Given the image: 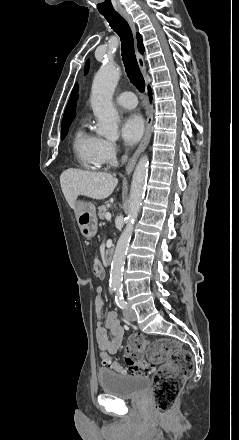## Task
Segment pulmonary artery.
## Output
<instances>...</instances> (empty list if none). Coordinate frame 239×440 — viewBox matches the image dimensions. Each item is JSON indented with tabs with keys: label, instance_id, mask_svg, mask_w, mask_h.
Segmentation results:
<instances>
[{
	"label": "pulmonary artery",
	"instance_id": "1",
	"mask_svg": "<svg viewBox=\"0 0 239 440\" xmlns=\"http://www.w3.org/2000/svg\"><path fill=\"white\" fill-rule=\"evenodd\" d=\"M116 103L124 108H134L137 105V99L132 92H123L116 98Z\"/></svg>",
	"mask_w": 239,
	"mask_h": 440
}]
</instances>
